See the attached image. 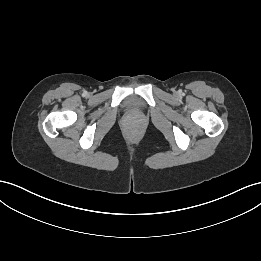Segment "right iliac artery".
I'll use <instances>...</instances> for the list:
<instances>
[{
    "mask_svg": "<svg viewBox=\"0 0 261 261\" xmlns=\"http://www.w3.org/2000/svg\"><path fill=\"white\" fill-rule=\"evenodd\" d=\"M83 95L86 96V95H87V92H84Z\"/></svg>",
    "mask_w": 261,
    "mask_h": 261,
    "instance_id": "right-iliac-artery-1",
    "label": "right iliac artery"
}]
</instances>
